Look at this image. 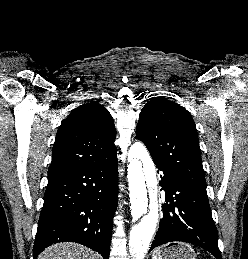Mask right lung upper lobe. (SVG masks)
<instances>
[{
    "instance_id": "1",
    "label": "right lung upper lobe",
    "mask_w": 248,
    "mask_h": 259,
    "mask_svg": "<svg viewBox=\"0 0 248 259\" xmlns=\"http://www.w3.org/2000/svg\"><path fill=\"white\" fill-rule=\"evenodd\" d=\"M115 137L112 116L101 104L75 108L59 127L48 175L106 161L117 152Z\"/></svg>"
}]
</instances>
